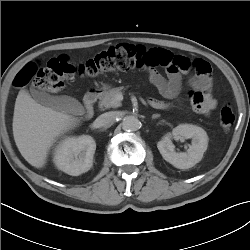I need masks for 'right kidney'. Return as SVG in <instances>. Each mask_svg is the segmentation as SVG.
Wrapping results in <instances>:
<instances>
[{"mask_svg": "<svg viewBox=\"0 0 250 250\" xmlns=\"http://www.w3.org/2000/svg\"><path fill=\"white\" fill-rule=\"evenodd\" d=\"M95 150L96 143L89 135L68 137L55 148L53 161L59 170L78 176L92 167Z\"/></svg>", "mask_w": 250, "mask_h": 250, "instance_id": "right-kidney-1", "label": "right kidney"}]
</instances>
